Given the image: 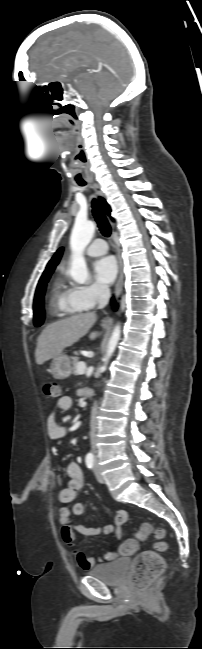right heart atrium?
I'll return each instance as SVG.
<instances>
[{
	"instance_id": "obj_1",
	"label": "right heart atrium",
	"mask_w": 202,
	"mask_h": 649,
	"mask_svg": "<svg viewBox=\"0 0 202 649\" xmlns=\"http://www.w3.org/2000/svg\"><path fill=\"white\" fill-rule=\"evenodd\" d=\"M107 295V287L97 283L78 287L74 291V299L83 309L94 308L98 303L103 301Z\"/></svg>"
}]
</instances>
